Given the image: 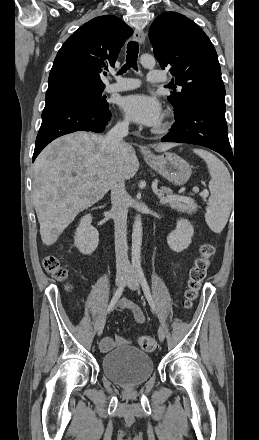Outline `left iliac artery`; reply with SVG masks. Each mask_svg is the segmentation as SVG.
I'll list each match as a JSON object with an SVG mask.
<instances>
[{"instance_id": "1", "label": "left iliac artery", "mask_w": 259, "mask_h": 440, "mask_svg": "<svg viewBox=\"0 0 259 440\" xmlns=\"http://www.w3.org/2000/svg\"><path fill=\"white\" fill-rule=\"evenodd\" d=\"M136 271H137L138 277L140 279V283L142 285L146 299L148 300V303L150 304L151 309L156 313V307H155V304H154V301H153V298H152V295H151V292L149 289V285L147 283V280L145 278L144 272H143L140 264L136 265Z\"/></svg>"}]
</instances>
